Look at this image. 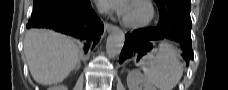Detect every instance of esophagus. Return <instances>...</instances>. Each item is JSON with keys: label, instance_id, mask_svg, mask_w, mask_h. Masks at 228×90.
I'll list each match as a JSON object with an SVG mask.
<instances>
[{"label": "esophagus", "instance_id": "34e87169", "mask_svg": "<svg viewBox=\"0 0 228 90\" xmlns=\"http://www.w3.org/2000/svg\"><path fill=\"white\" fill-rule=\"evenodd\" d=\"M105 29H106L107 32H112V31H117L118 30V27L115 26V25H112V24L107 23L105 25Z\"/></svg>", "mask_w": 228, "mask_h": 90}]
</instances>
